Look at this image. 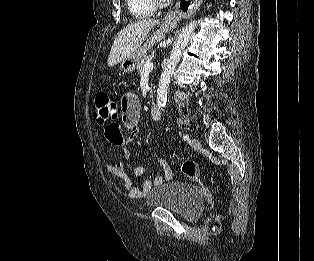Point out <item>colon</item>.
Segmentation results:
<instances>
[{
  "label": "colon",
  "mask_w": 314,
  "mask_h": 261,
  "mask_svg": "<svg viewBox=\"0 0 314 261\" xmlns=\"http://www.w3.org/2000/svg\"><path fill=\"white\" fill-rule=\"evenodd\" d=\"M96 110V123L102 127L108 124V120H118L119 112L117 104L106 92H99L94 98ZM124 141V140H122ZM199 167L194 161H185L182 165L183 174L190 179H196Z\"/></svg>",
  "instance_id": "colon-1"
}]
</instances>
